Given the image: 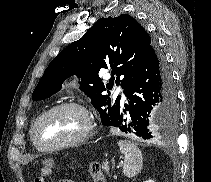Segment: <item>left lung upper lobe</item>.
I'll list each match as a JSON object with an SVG mask.
<instances>
[{
  "instance_id": "1",
  "label": "left lung upper lobe",
  "mask_w": 211,
  "mask_h": 182,
  "mask_svg": "<svg viewBox=\"0 0 211 182\" xmlns=\"http://www.w3.org/2000/svg\"><path fill=\"white\" fill-rule=\"evenodd\" d=\"M153 44L149 34L132 16L122 14L116 18H101L81 39L72 42L50 62L32 98L50 97L67 78L77 75L82 79L81 90L91 98L102 124L116 126L121 96L111 100L109 91L107 95L102 92L113 88L114 76L116 84H121L125 90ZM102 68L112 69V77L106 86L98 76ZM158 131L166 133L163 128Z\"/></svg>"
}]
</instances>
